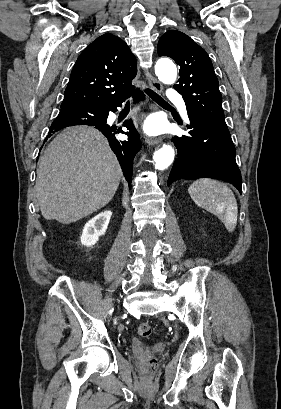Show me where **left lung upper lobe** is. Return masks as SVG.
Listing matches in <instances>:
<instances>
[{
	"instance_id": "left-lung-upper-lobe-1",
	"label": "left lung upper lobe",
	"mask_w": 281,
	"mask_h": 409,
	"mask_svg": "<svg viewBox=\"0 0 281 409\" xmlns=\"http://www.w3.org/2000/svg\"><path fill=\"white\" fill-rule=\"evenodd\" d=\"M157 49L159 56H169L180 66L174 88L183 96L187 112L226 125L218 79L205 50L177 30L163 34Z\"/></svg>"
}]
</instances>
